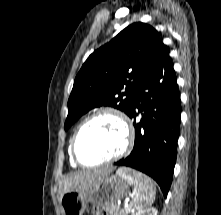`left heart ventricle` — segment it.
Instances as JSON below:
<instances>
[{"label": "left heart ventricle", "mask_w": 221, "mask_h": 215, "mask_svg": "<svg viewBox=\"0 0 221 215\" xmlns=\"http://www.w3.org/2000/svg\"><path fill=\"white\" fill-rule=\"evenodd\" d=\"M123 144L121 124L114 117L103 115L82 130L77 141V152L83 162L96 163L117 153Z\"/></svg>", "instance_id": "obj_1"}]
</instances>
